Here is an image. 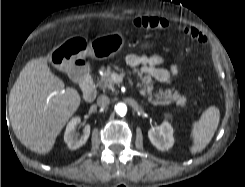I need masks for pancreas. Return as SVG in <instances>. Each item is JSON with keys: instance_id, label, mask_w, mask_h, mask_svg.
Segmentation results:
<instances>
[{"instance_id": "cf45deb5", "label": "pancreas", "mask_w": 245, "mask_h": 187, "mask_svg": "<svg viewBox=\"0 0 245 187\" xmlns=\"http://www.w3.org/2000/svg\"><path fill=\"white\" fill-rule=\"evenodd\" d=\"M100 71L103 73V76L100 78V80L97 81V86L101 88L102 90L105 89H114V81L112 79L113 71L110 66L105 68L102 66L100 68ZM138 80L141 81L140 86L142 87L140 93L145 94V92H148V99L150 102H176L179 105H185L186 103V97L184 95H180L176 90L172 91H166L163 92L162 89H159L157 93L152 94L151 88H152V79L150 76H142V74H139Z\"/></svg>"}]
</instances>
